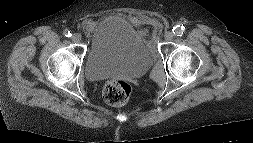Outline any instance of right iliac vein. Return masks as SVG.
I'll list each match as a JSON object with an SVG mask.
<instances>
[{
	"instance_id": "1",
	"label": "right iliac vein",
	"mask_w": 253,
	"mask_h": 143,
	"mask_svg": "<svg viewBox=\"0 0 253 143\" xmlns=\"http://www.w3.org/2000/svg\"><path fill=\"white\" fill-rule=\"evenodd\" d=\"M81 39H82V37H81V35L79 33H75L72 36V41L74 43H79L81 41Z\"/></svg>"
}]
</instances>
